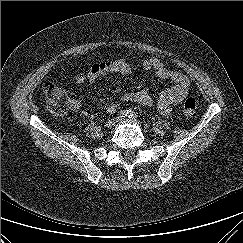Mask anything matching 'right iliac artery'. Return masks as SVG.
<instances>
[{
    "instance_id": "right-iliac-artery-1",
    "label": "right iliac artery",
    "mask_w": 243,
    "mask_h": 243,
    "mask_svg": "<svg viewBox=\"0 0 243 243\" xmlns=\"http://www.w3.org/2000/svg\"><path fill=\"white\" fill-rule=\"evenodd\" d=\"M129 114V110H121L118 114V118H125Z\"/></svg>"
}]
</instances>
